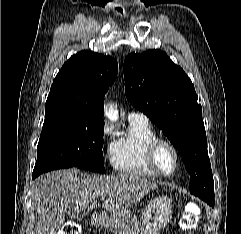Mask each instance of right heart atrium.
<instances>
[{
	"instance_id": "d8ad5b80",
	"label": "right heart atrium",
	"mask_w": 241,
	"mask_h": 234,
	"mask_svg": "<svg viewBox=\"0 0 241 234\" xmlns=\"http://www.w3.org/2000/svg\"><path fill=\"white\" fill-rule=\"evenodd\" d=\"M111 133H112V128L108 125H105L101 133L102 139L106 140L111 135Z\"/></svg>"
}]
</instances>
